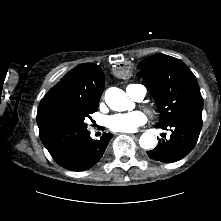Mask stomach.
Instances as JSON below:
<instances>
[{
	"instance_id": "obj_1",
	"label": "stomach",
	"mask_w": 221,
	"mask_h": 221,
	"mask_svg": "<svg viewBox=\"0 0 221 221\" xmlns=\"http://www.w3.org/2000/svg\"><path fill=\"white\" fill-rule=\"evenodd\" d=\"M137 66L133 60H121L113 68V75L117 79H124L136 72Z\"/></svg>"
}]
</instances>
